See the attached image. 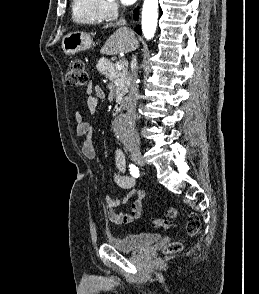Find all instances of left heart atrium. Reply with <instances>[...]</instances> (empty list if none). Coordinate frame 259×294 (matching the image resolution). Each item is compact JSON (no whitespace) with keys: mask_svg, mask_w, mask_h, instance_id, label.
<instances>
[{"mask_svg":"<svg viewBox=\"0 0 259 294\" xmlns=\"http://www.w3.org/2000/svg\"><path fill=\"white\" fill-rule=\"evenodd\" d=\"M137 0H121L124 5H131L135 3Z\"/></svg>","mask_w":259,"mask_h":294,"instance_id":"obj_1","label":"left heart atrium"}]
</instances>
